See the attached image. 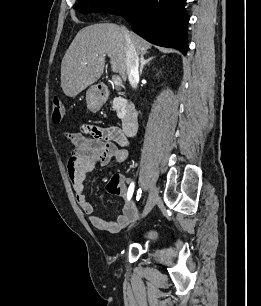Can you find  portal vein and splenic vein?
I'll use <instances>...</instances> for the list:
<instances>
[{"instance_id":"18ae733b","label":"portal vein and splenic vein","mask_w":261,"mask_h":306,"mask_svg":"<svg viewBox=\"0 0 261 306\" xmlns=\"http://www.w3.org/2000/svg\"><path fill=\"white\" fill-rule=\"evenodd\" d=\"M112 80H113V83H114L116 86L122 85V79H121L120 76H118V75H113V76H112Z\"/></svg>"}]
</instances>
